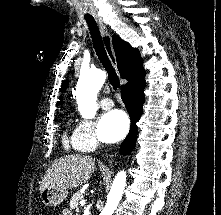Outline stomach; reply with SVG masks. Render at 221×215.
<instances>
[{"mask_svg": "<svg viewBox=\"0 0 221 215\" xmlns=\"http://www.w3.org/2000/svg\"><path fill=\"white\" fill-rule=\"evenodd\" d=\"M68 196L67 190L56 189L53 187L45 188L40 192V198L46 206H58Z\"/></svg>", "mask_w": 221, "mask_h": 215, "instance_id": "obj_1", "label": "stomach"}]
</instances>
